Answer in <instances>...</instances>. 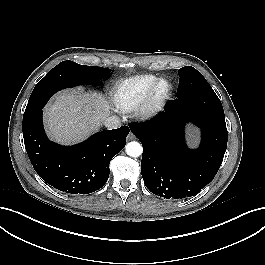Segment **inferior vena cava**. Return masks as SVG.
Listing matches in <instances>:
<instances>
[{
  "mask_svg": "<svg viewBox=\"0 0 265 265\" xmlns=\"http://www.w3.org/2000/svg\"><path fill=\"white\" fill-rule=\"evenodd\" d=\"M104 125L108 129H117L121 126V121L117 116H111L105 119Z\"/></svg>",
  "mask_w": 265,
  "mask_h": 265,
  "instance_id": "obj_1",
  "label": "inferior vena cava"
}]
</instances>
